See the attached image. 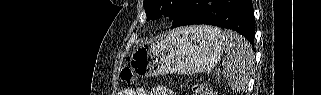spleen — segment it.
Instances as JSON below:
<instances>
[{"instance_id":"spleen-1","label":"spleen","mask_w":321,"mask_h":95,"mask_svg":"<svg viewBox=\"0 0 321 95\" xmlns=\"http://www.w3.org/2000/svg\"><path fill=\"white\" fill-rule=\"evenodd\" d=\"M202 33L220 39L224 43L227 62L223 70L224 77L235 90L245 89L249 79L250 69L254 64V54L249 42L232 31L222 32L218 28L201 26Z\"/></svg>"}]
</instances>
